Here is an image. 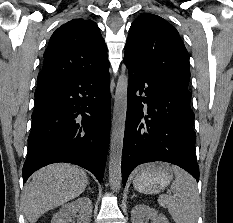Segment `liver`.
I'll use <instances>...</instances> for the list:
<instances>
[{
	"label": "liver",
	"mask_w": 233,
	"mask_h": 223,
	"mask_svg": "<svg viewBox=\"0 0 233 223\" xmlns=\"http://www.w3.org/2000/svg\"><path fill=\"white\" fill-rule=\"evenodd\" d=\"M87 183V173L78 165L51 163L41 167L33 173L22 197L28 221L35 223L42 213L78 197Z\"/></svg>",
	"instance_id": "1"
}]
</instances>
